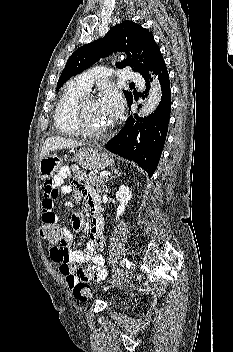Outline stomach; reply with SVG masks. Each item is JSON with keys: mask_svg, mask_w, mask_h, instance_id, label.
I'll return each instance as SVG.
<instances>
[{"mask_svg": "<svg viewBox=\"0 0 233 352\" xmlns=\"http://www.w3.org/2000/svg\"><path fill=\"white\" fill-rule=\"evenodd\" d=\"M73 160L90 170L98 171L112 166L114 160L97 147L80 149L74 154ZM62 166V160L57 155H46L39 162V177L43 180L52 177Z\"/></svg>", "mask_w": 233, "mask_h": 352, "instance_id": "obj_1", "label": "stomach"}]
</instances>
